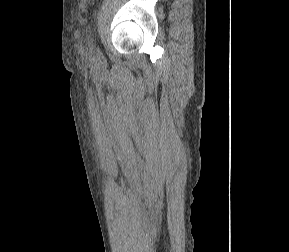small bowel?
Wrapping results in <instances>:
<instances>
[{
    "label": "small bowel",
    "mask_w": 289,
    "mask_h": 252,
    "mask_svg": "<svg viewBox=\"0 0 289 252\" xmlns=\"http://www.w3.org/2000/svg\"><path fill=\"white\" fill-rule=\"evenodd\" d=\"M85 2H88V1H90V0H84Z\"/></svg>",
    "instance_id": "c3829d8e"
}]
</instances>
